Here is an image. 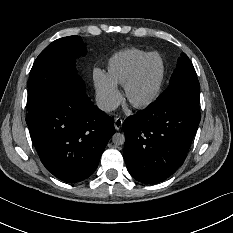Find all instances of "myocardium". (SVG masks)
Here are the masks:
<instances>
[{
  "mask_svg": "<svg viewBox=\"0 0 233 233\" xmlns=\"http://www.w3.org/2000/svg\"><path fill=\"white\" fill-rule=\"evenodd\" d=\"M154 56L161 57L163 59V62H164V72H163V76H162L161 82L159 84V87H158L156 93L154 94V96L150 100H148L146 102H135L130 97V90H131L132 86L134 85V83L138 80V78L140 77L141 73L144 71L146 66L148 65L149 61ZM167 78H168V64H167V61H166L164 55L160 52H150L145 57V59L138 65V67L134 70V72L128 77V79L125 81V83L123 85L125 98L136 109H140V110L148 109L149 107H151L152 105L157 103L159 101V99L161 98L163 91H164V88H165V85H166V82H167Z\"/></svg>",
  "mask_w": 233,
  "mask_h": 233,
  "instance_id": "obj_1",
  "label": "myocardium"
}]
</instances>
